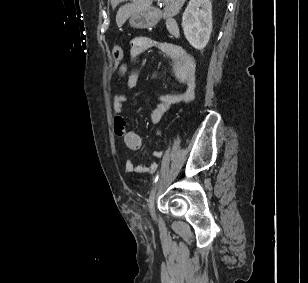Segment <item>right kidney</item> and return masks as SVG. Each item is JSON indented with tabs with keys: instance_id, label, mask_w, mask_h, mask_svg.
<instances>
[{
	"instance_id": "1",
	"label": "right kidney",
	"mask_w": 308,
	"mask_h": 283,
	"mask_svg": "<svg viewBox=\"0 0 308 283\" xmlns=\"http://www.w3.org/2000/svg\"><path fill=\"white\" fill-rule=\"evenodd\" d=\"M182 28L190 45L203 50L212 31L211 1L190 0L182 16Z\"/></svg>"
}]
</instances>
